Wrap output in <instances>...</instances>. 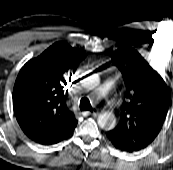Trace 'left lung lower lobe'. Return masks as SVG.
Masks as SVG:
<instances>
[{
	"label": "left lung lower lobe",
	"mask_w": 173,
	"mask_h": 170,
	"mask_svg": "<svg viewBox=\"0 0 173 170\" xmlns=\"http://www.w3.org/2000/svg\"><path fill=\"white\" fill-rule=\"evenodd\" d=\"M108 138H109V137H108ZM109 140H110V141L112 142V144H113L116 148H118V149H121V150L126 151V152H134V150H127V149L123 148V147L121 146V144H120L119 142L115 141L114 139L109 138Z\"/></svg>",
	"instance_id": "obj_1"
}]
</instances>
